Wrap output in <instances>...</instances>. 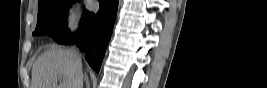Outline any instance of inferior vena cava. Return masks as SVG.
<instances>
[{"label": "inferior vena cava", "mask_w": 267, "mask_h": 88, "mask_svg": "<svg viewBox=\"0 0 267 88\" xmlns=\"http://www.w3.org/2000/svg\"><path fill=\"white\" fill-rule=\"evenodd\" d=\"M78 57H79V59L81 60V58H80L79 55H78ZM80 77H81V82H80V86H79V88H83V73H82V71H81V73H80Z\"/></svg>", "instance_id": "obj_1"}]
</instances>
